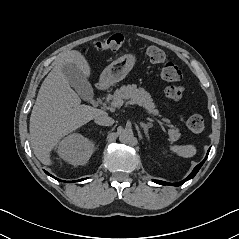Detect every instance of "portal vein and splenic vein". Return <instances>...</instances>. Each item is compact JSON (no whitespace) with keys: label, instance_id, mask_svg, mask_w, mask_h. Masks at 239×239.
<instances>
[{"label":"portal vein and splenic vein","instance_id":"obj_1","mask_svg":"<svg viewBox=\"0 0 239 239\" xmlns=\"http://www.w3.org/2000/svg\"><path fill=\"white\" fill-rule=\"evenodd\" d=\"M123 105V101L122 100H114L113 102H111V106L112 107H120ZM157 121V123L162 127V129H164V124L158 120V119H155Z\"/></svg>","mask_w":239,"mask_h":239}]
</instances>
